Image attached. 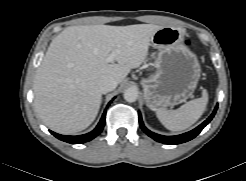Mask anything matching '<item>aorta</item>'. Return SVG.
<instances>
[{"label": "aorta", "instance_id": "aorta-1", "mask_svg": "<svg viewBox=\"0 0 246 181\" xmlns=\"http://www.w3.org/2000/svg\"><path fill=\"white\" fill-rule=\"evenodd\" d=\"M137 98H138V91L136 88L130 87L124 91V99L127 102L133 103L137 100Z\"/></svg>", "mask_w": 246, "mask_h": 181}]
</instances>
